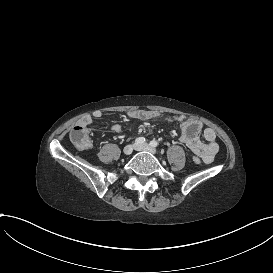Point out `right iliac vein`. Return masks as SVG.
Masks as SVG:
<instances>
[{
  "label": "right iliac vein",
  "mask_w": 273,
  "mask_h": 273,
  "mask_svg": "<svg viewBox=\"0 0 273 273\" xmlns=\"http://www.w3.org/2000/svg\"><path fill=\"white\" fill-rule=\"evenodd\" d=\"M136 145H127L124 148V154L125 155H130L133 152V149L135 148Z\"/></svg>",
  "instance_id": "obj_1"
}]
</instances>
